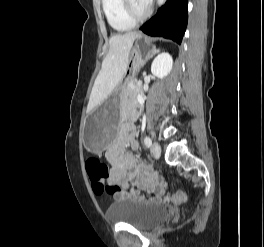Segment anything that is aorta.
I'll return each instance as SVG.
<instances>
[{
    "label": "aorta",
    "instance_id": "aorta-1",
    "mask_svg": "<svg viewBox=\"0 0 264 247\" xmlns=\"http://www.w3.org/2000/svg\"><path fill=\"white\" fill-rule=\"evenodd\" d=\"M165 2H166V0H157V4L159 6H162Z\"/></svg>",
    "mask_w": 264,
    "mask_h": 247
}]
</instances>
